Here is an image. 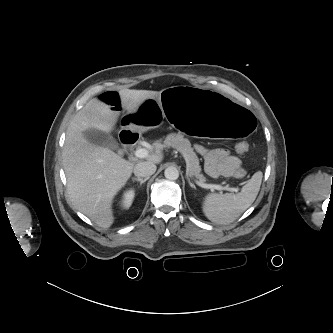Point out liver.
<instances>
[{
    "label": "liver",
    "instance_id": "1",
    "mask_svg": "<svg viewBox=\"0 0 333 333\" xmlns=\"http://www.w3.org/2000/svg\"><path fill=\"white\" fill-rule=\"evenodd\" d=\"M157 94V91L150 90L119 91L121 106L128 113L137 111L145 100ZM118 116L119 113L103 101L90 100L70 122L62 151L69 200L77 210L103 228H109L114 222L112 201L131 177L134 162L91 143L84 132L89 129L111 132ZM162 160L161 153L148 156V162L154 164Z\"/></svg>",
    "mask_w": 333,
    "mask_h": 333
}]
</instances>
